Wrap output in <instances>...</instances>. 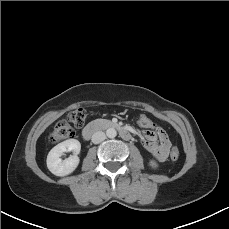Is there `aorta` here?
Listing matches in <instances>:
<instances>
[{"instance_id":"obj_1","label":"aorta","mask_w":229,"mask_h":229,"mask_svg":"<svg viewBox=\"0 0 229 229\" xmlns=\"http://www.w3.org/2000/svg\"><path fill=\"white\" fill-rule=\"evenodd\" d=\"M106 135L108 138H115L117 135V131L114 128H109L106 130Z\"/></svg>"}]
</instances>
